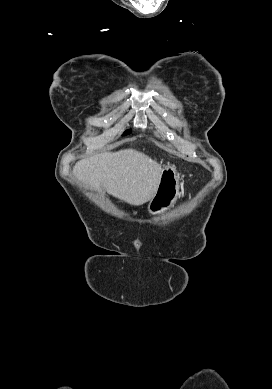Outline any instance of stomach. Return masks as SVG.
I'll use <instances>...</instances> for the list:
<instances>
[{"mask_svg": "<svg viewBox=\"0 0 272 389\" xmlns=\"http://www.w3.org/2000/svg\"><path fill=\"white\" fill-rule=\"evenodd\" d=\"M179 195V175L176 168L167 165L162 169L155 195L150 200L148 212L153 215L169 210Z\"/></svg>", "mask_w": 272, "mask_h": 389, "instance_id": "obj_1", "label": "stomach"}]
</instances>
